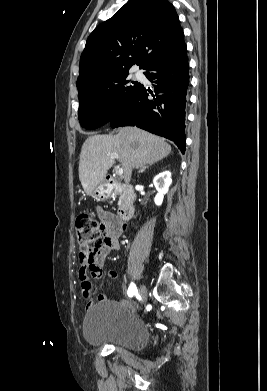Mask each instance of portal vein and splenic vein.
Segmentation results:
<instances>
[{
  "mask_svg": "<svg viewBox=\"0 0 267 391\" xmlns=\"http://www.w3.org/2000/svg\"><path fill=\"white\" fill-rule=\"evenodd\" d=\"M109 156H110L111 158H114V159H119V155L116 154V153L110 154ZM123 173H124L123 168H118V169L116 170V174L119 175V176H122Z\"/></svg>",
  "mask_w": 267,
  "mask_h": 391,
  "instance_id": "18ae733b",
  "label": "portal vein and splenic vein"
}]
</instances>
